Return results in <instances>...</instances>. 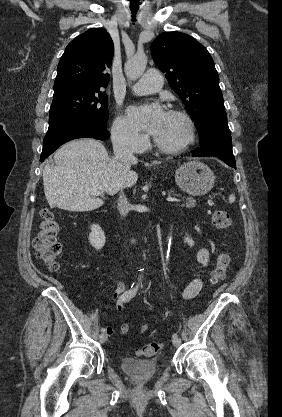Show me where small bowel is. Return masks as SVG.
<instances>
[{
    "mask_svg": "<svg viewBox=\"0 0 282 417\" xmlns=\"http://www.w3.org/2000/svg\"><path fill=\"white\" fill-rule=\"evenodd\" d=\"M197 263L203 268L206 269L210 262V253L207 248H201L196 254ZM203 278L196 277L192 279L189 284L180 292V297L184 300H190L195 298L203 288ZM125 292V286L122 282L116 284L115 291L112 294V299L116 303V310L119 314L123 312V302L122 296ZM147 329V325H144L139 331L138 334H141ZM120 332L122 335H126L129 332V325L124 318H121L120 322ZM105 333L108 335L112 334L111 327L105 328Z\"/></svg>",
    "mask_w": 282,
    "mask_h": 417,
    "instance_id": "small-bowel-1",
    "label": "small bowel"
}]
</instances>
